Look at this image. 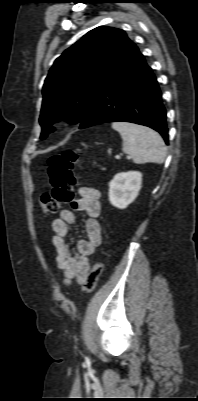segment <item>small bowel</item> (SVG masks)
<instances>
[{
	"label": "small bowel",
	"mask_w": 198,
	"mask_h": 401,
	"mask_svg": "<svg viewBox=\"0 0 198 401\" xmlns=\"http://www.w3.org/2000/svg\"><path fill=\"white\" fill-rule=\"evenodd\" d=\"M78 193L79 198L72 202L71 207L61 210L59 217L52 222V244L57 252V266L65 276V284H70L73 279L79 284L86 283L90 268L89 257L102 242V229L98 222L101 213L100 192L94 188L81 187ZM76 213L88 217L85 225L87 238L77 242V252L73 254L67 240Z\"/></svg>",
	"instance_id": "small-bowel-1"
}]
</instances>
